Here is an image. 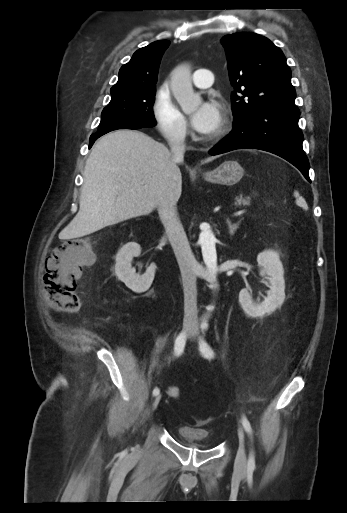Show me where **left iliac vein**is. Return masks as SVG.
Wrapping results in <instances>:
<instances>
[{"label":"left iliac vein","instance_id":"left-iliac-vein-1","mask_svg":"<svg viewBox=\"0 0 347 513\" xmlns=\"http://www.w3.org/2000/svg\"><path fill=\"white\" fill-rule=\"evenodd\" d=\"M198 326L197 324H193L190 335L195 340H199L198 337ZM238 438H239V448L236 454L235 458V470L237 473H243L246 470L247 466V459H246V453H245V437H244V431L241 426L238 427Z\"/></svg>","mask_w":347,"mask_h":513}]
</instances>
